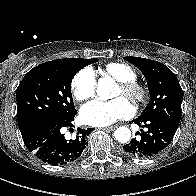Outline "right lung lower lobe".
<instances>
[{
  "mask_svg": "<svg viewBox=\"0 0 196 196\" xmlns=\"http://www.w3.org/2000/svg\"><path fill=\"white\" fill-rule=\"evenodd\" d=\"M75 114L63 119L42 118L21 127L27 149L51 165H63L76 160L88 144L86 136L92 128H78L76 138L66 140L61 128L73 126Z\"/></svg>",
  "mask_w": 196,
  "mask_h": 196,
  "instance_id": "obj_1",
  "label": "right lung lower lobe"
}]
</instances>
